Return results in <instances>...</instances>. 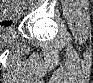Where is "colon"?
I'll return each instance as SVG.
<instances>
[{
  "instance_id": "5ec220e1",
  "label": "colon",
  "mask_w": 93,
  "mask_h": 83,
  "mask_svg": "<svg viewBox=\"0 0 93 83\" xmlns=\"http://www.w3.org/2000/svg\"><path fill=\"white\" fill-rule=\"evenodd\" d=\"M15 3L13 1H4L2 4L0 17H1V24H9L14 19V14L17 12V9L14 7H8L7 4Z\"/></svg>"
}]
</instances>
